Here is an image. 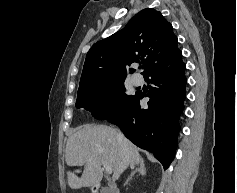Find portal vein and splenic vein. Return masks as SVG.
Instances as JSON below:
<instances>
[{
    "mask_svg": "<svg viewBox=\"0 0 237 193\" xmlns=\"http://www.w3.org/2000/svg\"><path fill=\"white\" fill-rule=\"evenodd\" d=\"M103 167L107 174H112V168L107 163H103Z\"/></svg>",
    "mask_w": 237,
    "mask_h": 193,
    "instance_id": "18ae733b",
    "label": "portal vein and splenic vein"
}]
</instances>
